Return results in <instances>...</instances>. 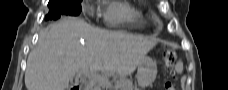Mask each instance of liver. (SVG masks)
Masks as SVG:
<instances>
[{"label": "liver", "instance_id": "6515ba94", "mask_svg": "<svg viewBox=\"0 0 228 90\" xmlns=\"http://www.w3.org/2000/svg\"><path fill=\"white\" fill-rule=\"evenodd\" d=\"M155 45L152 38L101 30L67 17L40 33L28 55L25 85L27 90H66L84 68L126 77Z\"/></svg>", "mask_w": 228, "mask_h": 90}]
</instances>
